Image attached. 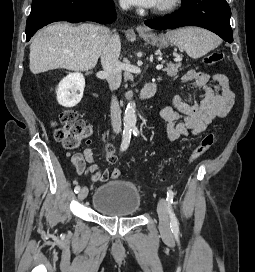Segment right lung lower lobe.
I'll list each match as a JSON object with an SVG mask.
<instances>
[{
  "label": "right lung lower lobe",
  "mask_w": 255,
  "mask_h": 272,
  "mask_svg": "<svg viewBox=\"0 0 255 272\" xmlns=\"http://www.w3.org/2000/svg\"><path fill=\"white\" fill-rule=\"evenodd\" d=\"M112 0H33L27 19L26 41L43 26L56 21L111 23L115 19Z\"/></svg>",
  "instance_id": "1"
}]
</instances>
